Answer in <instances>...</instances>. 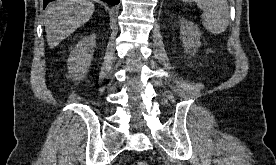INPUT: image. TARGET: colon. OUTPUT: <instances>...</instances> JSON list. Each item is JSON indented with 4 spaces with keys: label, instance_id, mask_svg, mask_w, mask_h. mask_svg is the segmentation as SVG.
Here are the masks:
<instances>
[{
    "label": "colon",
    "instance_id": "colon-1",
    "mask_svg": "<svg viewBox=\"0 0 276 165\" xmlns=\"http://www.w3.org/2000/svg\"><path fill=\"white\" fill-rule=\"evenodd\" d=\"M132 165H149V164L144 161H137V162H134Z\"/></svg>",
    "mask_w": 276,
    "mask_h": 165
}]
</instances>
